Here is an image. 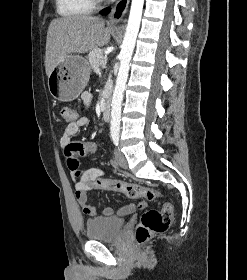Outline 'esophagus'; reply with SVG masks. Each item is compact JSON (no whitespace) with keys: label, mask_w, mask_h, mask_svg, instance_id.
Here are the masks:
<instances>
[{"label":"esophagus","mask_w":247,"mask_h":280,"mask_svg":"<svg viewBox=\"0 0 247 280\" xmlns=\"http://www.w3.org/2000/svg\"><path fill=\"white\" fill-rule=\"evenodd\" d=\"M130 0H118L109 17V23H118L125 15Z\"/></svg>","instance_id":"1"}]
</instances>
